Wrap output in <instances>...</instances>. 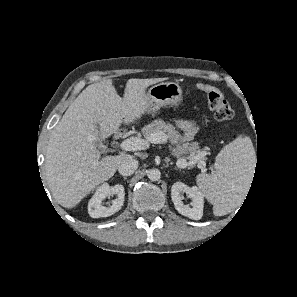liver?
<instances>
[{
	"mask_svg": "<svg viewBox=\"0 0 297 297\" xmlns=\"http://www.w3.org/2000/svg\"><path fill=\"white\" fill-rule=\"evenodd\" d=\"M162 79H129L123 99L111 79L91 84L78 95L53 129L45 155L48 186L58 204L76 206L132 158L122 154L100 159L95 142L139 120L147 110L146 88Z\"/></svg>",
	"mask_w": 297,
	"mask_h": 297,
	"instance_id": "1",
	"label": "liver"
}]
</instances>
